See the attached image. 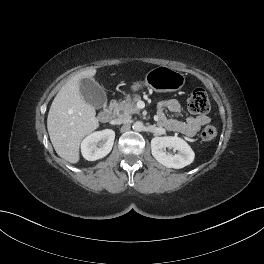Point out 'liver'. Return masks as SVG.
Listing matches in <instances>:
<instances>
[{
    "mask_svg": "<svg viewBox=\"0 0 264 264\" xmlns=\"http://www.w3.org/2000/svg\"><path fill=\"white\" fill-rule=\"evenodd\" d=\"M95 68L73 76L55 96L47 118V129L56 153L70 163L80 159L82 139L99 126L95 108L85 102L80 93V81L92 78Z\"/></svg>",
    "mask_w": 264,
    "mask_h": 264,
    "instance_id": "obj_1",
    "label": "liver"
}]
</instances>
